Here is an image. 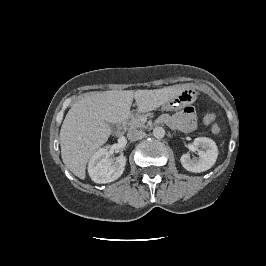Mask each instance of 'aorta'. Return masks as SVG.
Masks as SVG:
<instances>
[{
	"mask_svg": "<svg viewBox=\"0 0 266 266\" xmlns=\"http://www.w3.org/2000/svg\"><path fill=\"white\" fill-rule=\"evenodd\" d=\"M153 136L157 139H162L165 136V130L163 127L157 126L153 129Z\"/></svg>",
	"mask_w": 266,
	"mask_h": 266,
	"instance_id": "obj_1",
	"label": "aorta"
}]
</instances>
